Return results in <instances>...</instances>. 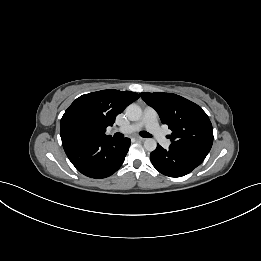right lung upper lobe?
<instances>
[{
	"label": "right lung upper lobe",
	"mask_w": 261,
	"mask_h": 261,
	"mask_svg": "<svg viewBox=\"0 0 261 261\" xmlns=\"http://www.w3.org/2000/svg\"><path fill=\"white\" fill-rule=\"evenodd\" d=\"M138 98L135 92L113 89L84 94L65 111L61 125L72 118L83 117L94 124L97 137H104L106 128L113 125L116 116Z\"/></svg>",
	"instance_id": "cb5924a9"
}]
</instances>
